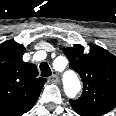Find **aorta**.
I'll return each mask as SVG.
<instances>
[{"instance_id":"762f6f07","label":"aorta","mask_w":116,"mask_h":116,"mask_svg":"<svg viewBox=\"0 0 116 116\" xmlns=\"http://www.w3.org/2000/svg\"><path fill=\"white\" fill-rule=\"evenodd\" d=\"M64 91L68 97H75V95L80 91L81 84L75 73L72 71H67L63 78Z\"/></svg>"}]
</instances>
